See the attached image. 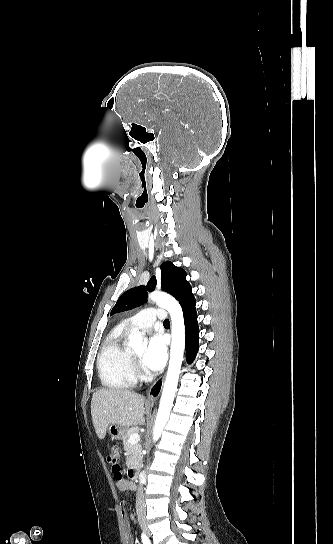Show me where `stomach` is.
Wrapping results in <instances>:
<instances>
[{
	"instance_id": "obj_1",
	"label": "stomach",
	"mask_w": 333,
	"mask_h": 544,
	"mask_svg": "<svg viewBox=\"0 0 333 544\" xmlns=\"http://www.w3.org/2000/svg\"><path fill=\"white\" fill-rule=\"evenodd\" d=\"M107 430H108V433L111 435L112 439H117V440L122 439L126 431L124 427L118 426L116 424H110Z\"/></svg>"
}]
</instances>
